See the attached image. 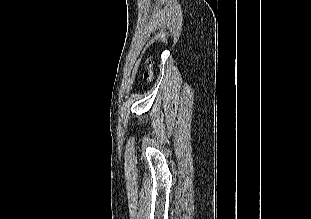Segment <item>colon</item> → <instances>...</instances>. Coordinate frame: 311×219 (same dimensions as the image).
I'll list each match as a JSON object with an SVG mask.
<instances>
[{
    "label": "colon",
    "mask_w": 311,
    "mask_h": 219,
    "mask_svg": "<svg viewBox=\"0 0 311 219\" xmlns=\"http://www.w3.org/2000/svg\"><path fill=\"white\" fill-rule=\"evenodd\" d=\"M149 64H151V61L149 62ZM146 79L147 80H150L151 79V77H152V73H151V71H148L147 73H146Z\"/></svg>",
    "instance_id": "5ec220e1"
}]
</instances>
